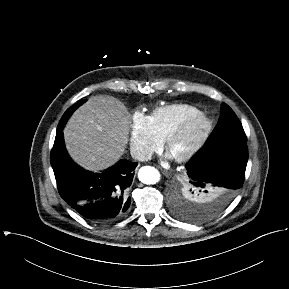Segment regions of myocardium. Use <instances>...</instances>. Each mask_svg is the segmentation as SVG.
<instances>
[{"mask_svg": "<svg viewBox=\"0 0 289 289\" xmlns=\"http://www.w3.org/2000/svg\"><path fill=\"white\" fill-rule=\"evenodd\" d=\"M197 122L202 123L201 131L182 152L173 154L177 161L184 162L191 159L203 147L213 128L211 118L202 111L193 114L186 118L165 140L166 149L172 153L173 147L187 137Z\"/></svg>", "mask_w": 289, "mask_h": 289, "instance_id": "f54148a6", "label": "myocardium"}]
</instances>
